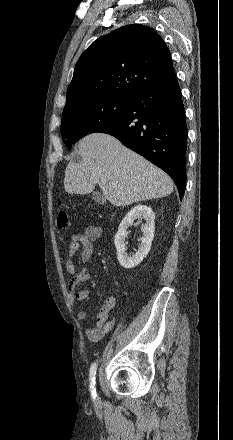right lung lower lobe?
I'll return each mask as SVG.
<instances>
[{
    "label": "right lung lower lobe",
    "mask_w": 233,
    "mask_h": 440,
    "mask_svg": "<svg viewBox=\"0 0 233 440\" xmlns=\"http://www.w3.org/2000/svg\"><path fill=\"white\" fill-rule=\"evenodd\" d=\"M97 132L110 134L171 176L182 199L187 125L176 74L136 92L124 112Z\"/></svg>",
    "instance_id": "obj_1"
}]
</instances>
